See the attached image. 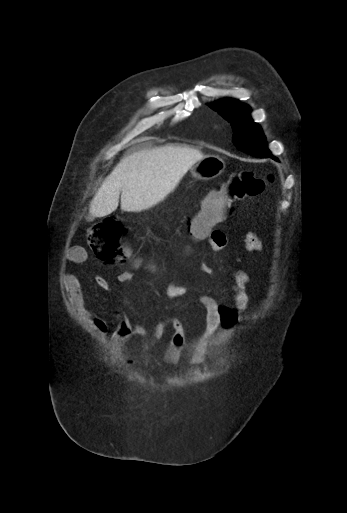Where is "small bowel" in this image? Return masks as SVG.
Here are the masks:
<instances>
[{"instance_id": "obj_1", "label": "small bowel", "mask_w": 347, "mask_h": 513, "mask_svg": "<svg viewBox=\"0 0 347 513\" xmlns=\"http://www.w3.org/2000/svg\"><path fill=\"white\" fill-rule=\"evenodd\" d=\"M201 240H207L210 244L208 259L224 249L228 243L226 232L221 228L212 229ZM245 247L250 252H260L263 248L262 241L254 231H249L245 235ZM86 260V252L82 247H74L68 253V262L81 263ZM140 268V263L128 270L122 271L118 275L121 283H129L136 270ZM203 271L209 275L216 273L215 267L207 260L203 265ZM231 283L228 286L230 297L234 303L233 306L221 305L216 298L209 294H203L199 297V303L205 310V328L200 336L198 344L191 352L187 351V340L184 325L178 319H167L153 326H146L143 323L133 322L124 314L116 315L117 327L112 333L113 341L124 343L129 339L135 338L147 345L158 342L169 335L165 349L162 353V361L169 365H176L187 355L188 362L191 365H198L202 362L205 355L203 343L207 338L214 334L219 328H230L238 323L241 312L249 306L248 287L250 283L249 276L241 269H235L232 272ZM96 284L108 289V282L103 277L95 278ZM62 283L67 295V299L76 318L84 325L96 331L101 336H106L109 332L108 322L98 314L88 310L85 306L84 294L78 278L68 272L62 276ZM189 287L184 283L170 281L167 284V295L177 298L187 295ZM128 364H134L133 359L125 361Z\"/></svg>"}]
</instances>
